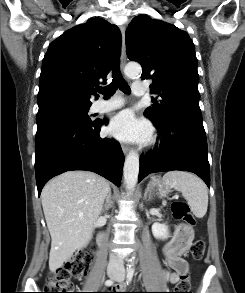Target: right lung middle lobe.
Masks as SVG:
<instances>
[{
    "mask_svg": "<svg viewBox=\"0 0 245 293\" xmlns=\"http://www.w3.org/2000/svg\"><path fill=\"white\" fill-rule=\"evenodd\" d=\"M90 106L91 104L59 103L39 108L36 139L63 125L91 123L88 115Z\"/></svg>",
    "mask_w": 245,
    "mask_h": 293,
    "instance_id": "1",
    "label": "right lung middle lobe"
}]
</instances>
